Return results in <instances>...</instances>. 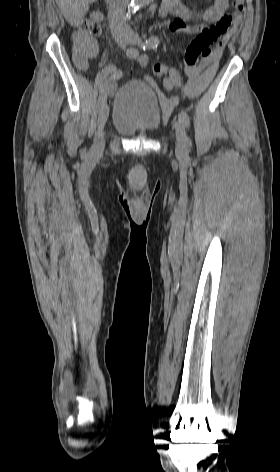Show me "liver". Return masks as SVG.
<instances>
[{
	"mask_svg": "<svg viewBox=\"0 0 280 472\" xmlns=\"http://www.w3.org/2000/svg\"><path fill=\"white\" fill-rule=\"evenodd\" d=\"M96 0H56L65 19L74 27L83 22L89 4Z\"/></svg>",
	"mask_w": 280,
	"mask_h": 472,
	"instance_id": "1",
	"label": "liver"
}]
</instances>
